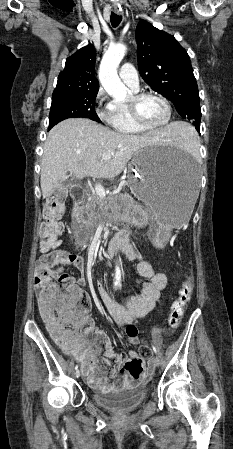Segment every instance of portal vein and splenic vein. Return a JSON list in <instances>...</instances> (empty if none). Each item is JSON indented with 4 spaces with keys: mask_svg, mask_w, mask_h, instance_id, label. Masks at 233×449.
<instances>
[{
    "mask_svg": "<svg viewBox=\"0 0 233 449\" xmlns=\"http://www.w3.org/2000/svg\"><path fill=\"white\" fill-rule=\"evenodd\" d=\"M111 157H112V154H104V155L101 156V159L102 160H108ZM95 192L102 199H104L106 197L105 189H104V187L101 184H96L95 185Z\"/></svg>",
    "mask_w": 233,
    "mask_h": 449,
    "instance_id": "obj_1",
    "label": "portal vein and splenic vein"
}]
</instances>
